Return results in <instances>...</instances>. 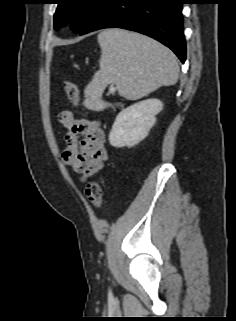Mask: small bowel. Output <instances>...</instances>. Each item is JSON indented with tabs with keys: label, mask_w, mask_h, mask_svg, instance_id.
Wrapping results in <instances>:
<instances>
[{
	"label": "small bowel",
	"mask_w": 236,
	"mask_h": 321,
	"mask_svg": "<svg viewBox=\"0 0 236 321\" xmlns=\"http://www.w3.org/2000/svg\"><path fill=\"white\" fill-rule=\"evenodd\" d=\"M58 122L66 129L64 163L73 167L83 177L100 172L108 154L105 148V134L99 122L77 118L71 110L60 112ZM79 135L84 137L80 141Z\"/></svg>",
	"instance_id": "obj_1"
}]
</instances>
